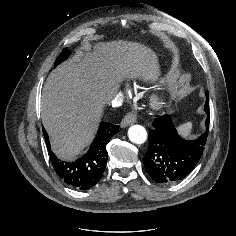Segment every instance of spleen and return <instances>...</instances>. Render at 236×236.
I'll use <instances>...</instances> for the list:
<instances>
[{"label":"spleen","mask_w":236,"mask_h":236,"mask_svg":"<svg viewBox=\"0 0 236 236\" xmlns=\"http://www.w3.org/2000/svg\"><path fill=\"white\" fill-rule=\"evenodd\" d=\"M192 126L193 124L191 122H188V123L180 125L177 129L180 134H182L184 137H187L192 132Z\"/></svg>","instance_id":"spleen-1"}]
</instances>
